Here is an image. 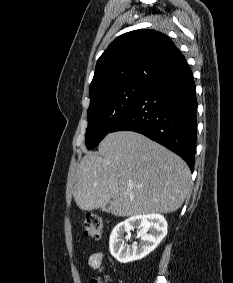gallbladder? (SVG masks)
Wrapping results in <instances>:
<instances>
[{
	"label": "gallbladder",
	"instance_id": "gallbladder-1",
	"mask_svg": "<svg viewBox=\"0 0 233 283\" xmlns=\"http://www.w3.org/2000/svg\"><path fill=\"white\" fill-rule=\"evenodd\" d=\"M103 210L108 212L110 210V204L108 203L105 207H103Z\"/></svg>",
	"mask_w": 233,
	"mask_h": 283
}]
</instances>
